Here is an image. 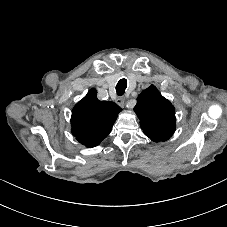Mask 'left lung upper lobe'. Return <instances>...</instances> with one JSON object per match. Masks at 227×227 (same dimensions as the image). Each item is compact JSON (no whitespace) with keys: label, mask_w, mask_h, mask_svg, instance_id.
Instances as JSON below:
<instances>
[{"label":"left lung upper lobe","mask_w":227,"mask_h":227,"mask_svg":"<svg viewBox=\"0 0 227 227\" xmlns=\"http://www.w3.org/2000/svg\"><path fill=\"white\" fill-rule=\"evenodd\" d=\"M137 101L134 111L140 119L144 134L156 142L168 140L176 128L173 105L154 85L142 91Z\"/></svg>","instance_id":"5c2ea615"}]
</instances>
